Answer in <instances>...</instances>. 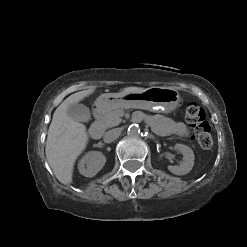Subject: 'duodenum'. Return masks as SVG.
Masks as SVG:
<instances>
[{
  "instance_id": "410a0bca",
  "label": "duodenum",
  "mask_w": 247,
  "mask_h": 247,
  "mask_svg": "<svg viewBox=\"0 0 247 247\" xmlns=\"http://www.w3.org/2000/svg\"><path fill=\"white\" fill-rule=\"evenodd\" d=\"M104 113V108L103 107H97L94 111V116H95V122L92 124V126L90 127L89 133L90 136L93 139H100L103 135L104 132V127L103 124L101 122V118L103 116Z\"/></svg>"
}]
</instances>
